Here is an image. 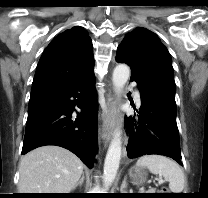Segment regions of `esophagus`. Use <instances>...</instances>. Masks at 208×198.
<instances>
[{
  "instance_id": "esophagus-1",
  "label": "esophagus",
  "mask_w": 208,
  "mask_h": 198,
  "mask_svg": "<svg viewBox=\"0 0 208 198\" xmlns=\"http://www.w3.org/2000/svg\"><path fill=\"white\" fill-rule=\"evenodd\" d=\"M107 113L102 121L101 137L105 146L109 143L116 125L117 107L116 100L113 95L107 99Z\"/></svg>"
}]
</instances>
